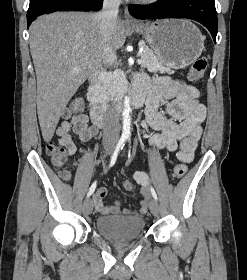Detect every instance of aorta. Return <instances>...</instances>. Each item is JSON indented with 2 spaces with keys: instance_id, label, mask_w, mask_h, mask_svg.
<instances>
[{
  "instance_id": "obj_1",
  "label": "aorta",
  "mask_w": 247,
  "mask_h": 280,
  "mask_svg": "<svg viewBox=\"0 0 247 280\" xmlns=\"http://www.w3.org/2000/svg\"><path fill=\"white\" fill-rule=\"evenodd\" d=\"M130 99L129 97L124 98V109H123V131L122 134L124 136L130 135V125H131V120H130Z\"/></svg>"
}]
</instances>
